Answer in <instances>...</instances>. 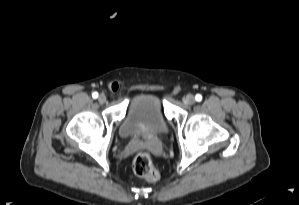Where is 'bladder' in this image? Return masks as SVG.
Wrapping results in <instances>:
<instances>
[{
    "label": "bladder",
    "instance_id": "31cf9c89",
    "mask_svg": "<svg viewBox=\"0 0 299 205\" xmlns=\"http://www.w3.org/2000/svg\"><path fill=\"white\" fill-rule=\"evenodd\" d=\"M119 133L125 139L166 135L168 124L159 98L153 94L135 97L127 109Z\"/></svg>",
    "mask_w": 299,
    "mask_h": 205
}]
</instances>
